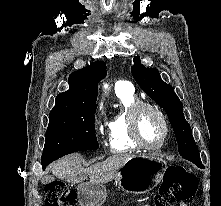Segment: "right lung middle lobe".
<instances>
[{
    "label": "right lung middle lobe",
    "mask_w": 221,
    "mask_h": 206,
    "mask_svg": "<svg viewBox=\"0 0 221 206\" xmlns=\"http://www.w3.org/2000/svg\"><path fill=\"white\" fill-rule=\"evenodd\" d=\"M95 112L96 107L51 111L41 164L51 163L73 152L98 149Z\"/></svg>",
    "instance_id": "1"
}]
</instances>
